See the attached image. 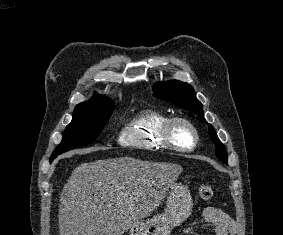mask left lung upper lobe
<instances>
[{"mask_svg":"<svg viewBox=\"0 0 283 235\" xmlns=\"http://www.w3.org/2000/svg\"><path fill=\"white\" fill-rule=\"evenodd\" d=\"M153 95L161 100L169 101L178 106L194 112L204 119L202 103L195 96V91L191 85L178 80L157 82L153 86ZM209 135L216 144V156L227 164V152L225 146L220 142L213 127L209 128Z\"/></svg>","mask_w":283,"mask_h":235,"instance_id":"1","label":"left lung upper lobe"}]
</instances>
